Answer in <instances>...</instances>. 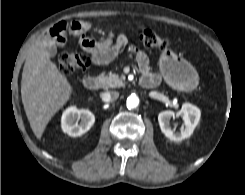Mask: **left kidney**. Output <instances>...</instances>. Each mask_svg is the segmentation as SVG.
Masks as SVG:
<instances>
[{"instance_id": "1", "label": "left kidney", "mask_w": 245, "mask_h": 195, "mask_svg": "<svg viewBox=\"0 0 245 195\" xmlns=\"http://www.w3.org/2000/svg\"><path fill=\"white\" fill-rule=\"evenodd\" d=\"M175 115L181 116L184 121V128L180 132H175L170 127V119ZM200 110L189 103L182 105L177 113L173 111H163L158 115V122L162 133L170 140L180 142L189 138L200 120Z\"/></svg>"}]
</instances>
